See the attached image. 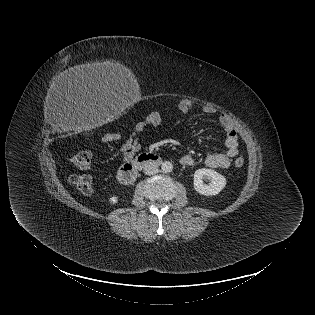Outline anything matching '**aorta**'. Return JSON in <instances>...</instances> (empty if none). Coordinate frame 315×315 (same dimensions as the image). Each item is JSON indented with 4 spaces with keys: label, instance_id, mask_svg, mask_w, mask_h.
Masks as SVG:
<instances>
[{
    "label": "aorta",
    "instance_id": "1",
    "mask_svg": "<svg viewBox=\"0 0 315 315\" xmlns=\"http://www.w3.org/2000/svg\"><path fill=\"white\" fill-rule=\"evenodd\" d=\"M161 170L163 173H170L173 170V165L170 161H165L161 165Z\"/></svg>",
    "mask_w": 315,
    "mask_h": 315
}]
</instances>
